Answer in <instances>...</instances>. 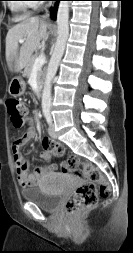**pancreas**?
Returning a JSON list of instances; mask_svg holds the SVG:
<instances>
[{
	"label": "pancreas",
	"mask_w": 133,
	"mask_h": 253,
	"mask_svg": "<svg viewBox=\"0 0 133 253\" xmlns=\"http://www.w3.org/2000/svg\"><path fill=\"white\" fill-rule=\"evenodd\" d=\"M36 55H32L24 69V73L23 75L27 78L30 77V74H31V71H32V68H33V65L35 63V60H36ZM43 76H44V72L42 71V69H39L38 73H37V83L39 85V87L42 85V82H43Z\"/></svg>",
	"instance_id": "1"
}]
</instances>
